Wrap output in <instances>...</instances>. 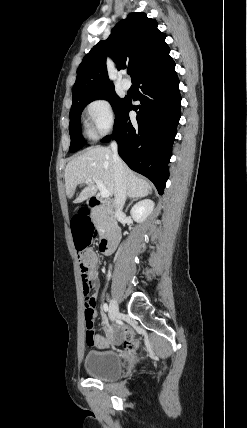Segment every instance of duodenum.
Returning a JSON list of instances; mask_svg holds the SVG:
<instances>
[{
  "label": "duodenum",
  "mask_w": 247,
  "mask_h": 428,
  "mask_svg": "<svg viewBox=\"0 0 247 428\" xmlns=\"http://www.w3.org/2000/svg\"><path fill=\"white\" fill-rule=\"evenodd\" d=\"M89 205L91 207L103 206L107 209L111 208L110 202L105 201L98 197H91L89 199ZM119 241H120V230L114 227L102 236L99 243V249L101 252H104V253L110 252L118 246Z\"/></svg>",
  "instance_id": "410a0bca"
}]
</instances>
